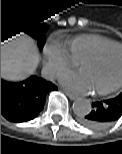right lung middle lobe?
Returning a JSON list of instances; mask_svg holds the SVG:
<instances>
[{
  "mask_svg": "<svg viewBox=\"0 0 122 154\" xmlns=\"http://www.w3.org/2000/svg\"><path fill=\"white\" fill-rule=\"evenodd\" d=\"M10 31H17L21 34L26 33L37 39L39 47L44 45V32L46 26L31 18H18L1 26V36Z\"/></svg>",
  "mask_w": 122,
  "mask_h": 154,
  "instance_id": "obj_1",
  "label": "right lung middle lobe"
}]
</instances>
